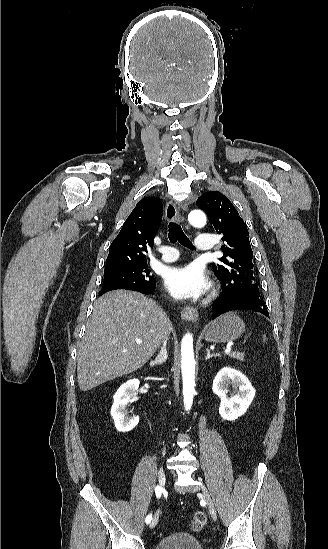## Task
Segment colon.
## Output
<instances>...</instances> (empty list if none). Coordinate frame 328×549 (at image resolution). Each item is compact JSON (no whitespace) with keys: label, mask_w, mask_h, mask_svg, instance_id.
Listing matches in <instances>:
<instances>
[{"label":"colon","mask_w":328,"mask_h":549,"mask_svg":"<svg viewBox=\"0 0 328 549\" xmlns=\"http://www.w3.org/2000/svg\"><path fill=\"white\" fill-rule=\"evenodd\" d=\"M207 518L203 512H195L191 520V528L194 531H200L206 525Z\"/></svg>","instance_id":"5ec220e1"}]
</instances>
